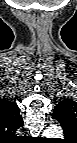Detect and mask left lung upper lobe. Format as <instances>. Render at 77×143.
<instances>
[{
	"instance_id": "left-lung-upper-lobe-1",
	"label": "left lung upper lobe",
	"mask_w": 77,
	"mask_h": 143,
	"mask_svg": "<svg viewBox=\"0 0 77 143\" xmlns=\"http://www.w3.org/2000/svg\"><path fill=\"white\" fill-rule=\"evenodd\" d=\"M53 116L59 117V122L63 127L65 137L68 138L77 126V103L70 99L59 102L53 109Z\"/></svg>"
}]
</instances>
